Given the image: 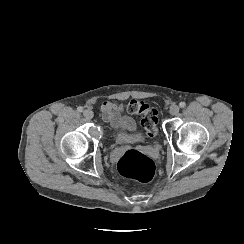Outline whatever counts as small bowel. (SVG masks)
<instances>
[{"instance_id":"small-bowel-1","label":"small bowel","mask_w":244,"mask_h":244,"mask_svg":"<svg viewBox=\"0 0 244 244\" xmlns=\"http://www.w3.org/2000/svg\"><path fill=\"white\" fill-rule=\"evenodd\" d=\"M104 121L117 133L133 135L136 132V122L125 115L123 105L105 101L100 105Z\"/></svg>"}]
</instances>
